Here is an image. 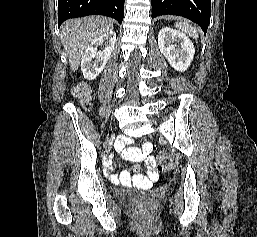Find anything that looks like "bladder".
I'll return each instance as SVG.
<instances>
[{
  "mask_svg": "<svg viewBox=\"0 0 257 237\" xmlns=\"http://www.w3.org/2000/svg\"><path fill=\"white\" fill-rule=\"evenodd\" d=\"M125 199H127L128 201H131L132 199H134V196L127 195V196H125Z\"/></svg>",
  "mask_w": 257,
  "mask_h": 237,
  "instance_id": "obj_1",
  "label": "bladder"
}]
</instances>
